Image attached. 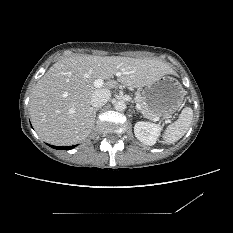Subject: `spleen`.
<instances>
[{
	"instance_id": "3e777b00",
	"label": "spleen",
	"mask_w": 233,
	"mask_h": 233,
	"mask_svg": "<svg viewBox=\"0 0 233 233\" xmlns=\"http://www.w3.org/2000/svg\"><path fill=\"white\" fill-rule=\"evenodd\" d=\"M193 119V110L190 107H185L173 124L169 125L164 134V142L167 144H173L181 139L188 131Z\"/></svg>"
}]
</instances>
